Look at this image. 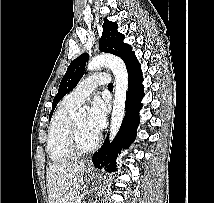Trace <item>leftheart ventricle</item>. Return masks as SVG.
<instances>
[{
    "label": "left heart ventricle",
    "mask_w": 214,
    "mask_h": 203,
    "mask_svg": "<svg viewBox=\"0 0 214 203\" xmlns=\"http://www.w3.org/2000/svg\"><path fill=\"white\" fill-rule=\"evenodd\" d=\"M74 122H75L76 127L79 132L81 144L85 147L90 146L93 143L97 134L91 132L87 128L85 116H82V117L74 120Z\"/></svg>",
    "instance_id": "obj_1"
}]
</instances>
